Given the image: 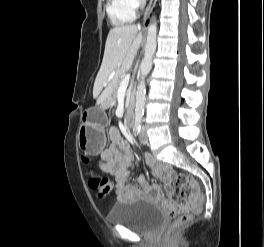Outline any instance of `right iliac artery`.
<instances>
[{"mask_svg":"<svg viewBox=\"0 0 264 247\" xmlns=\"http://www.w3.org/2000/svg\"><path fill=\"white\" fill-rule=\"evenodd\" d=\"M140 130H141V121L137 120L134 123V128H133L134 134L138 135L140 133Z\"/></svg>","mask_w":264,"mask_h":247,"instance_id":"1","label":"right iliac artery"}]
</instances>
